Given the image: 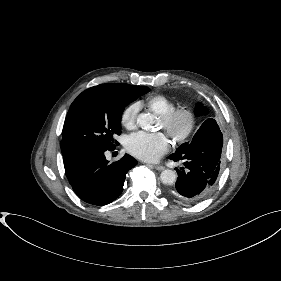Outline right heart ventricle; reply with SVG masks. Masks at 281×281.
Returning <instances> with one entry per match:
<instances>
[{
	"instance_id": "1",
	"label": "right heart ventricle",
	"mask_w": 281,
	"mask_h": 281,
	"mask_svg": "<svg viewBox=\"0 0 281 281\" xmlns=\"http://www.w3.org/2000/svg\"><path fill=\"white\" fill-rule=\"evenodd\" d=\"M141 104L158 116H162L176 107L175 101L163 94L152 95Z\"/></svg>"
}]
</instances>
